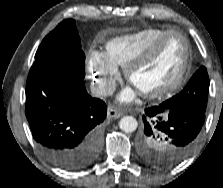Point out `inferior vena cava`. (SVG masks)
Masks as SVG:
<instances>
[{
    "mask_svg": "<svg viewBox=\"0 0 223 188\" xmlns=\"http://www.w3.org/2000/svg\"><path fill=\"white\" fill-rule=\"evenodd\" d=\"M91 93L94 97L110 96L115 91V84L113 82L99 81L92 83L90 86Z\"/></svg>",
    "mask_w": 223,
    "mask_h": 188,
    "instance_id": "inferior-vena-cava-1",
    "label": "inferior vena cava"
}]
</instances>
